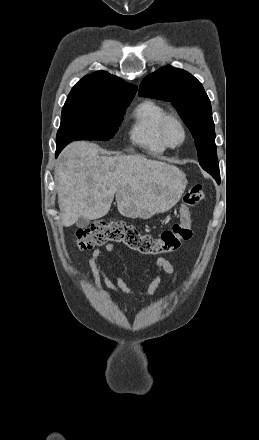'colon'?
Masks as SVG:
<instances>
[{
    "label": "colon",
    "mask_w": 259,
    "mask_h": 440,
    "mask_svg": "<svg viewBox=\"0 0 259 440\" xmlns=\"http://www.w3.org/2000/svg\"><path fill=\"white\" fill-rule=\"evenodd\" d=\"M205 191L200 184L192 186L184 195L179 210V220L161 232L159 236L140 232L136 227L122 221H97L77 232V247L90 250L107 242L123 243L128 248L144 255H159L178 250L182 242L192 236L190 209L205 199Z\"/></svg>",
    "instance_id": "obj_1"
}]
</instances>
